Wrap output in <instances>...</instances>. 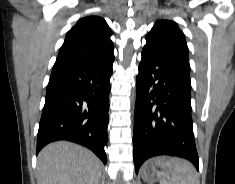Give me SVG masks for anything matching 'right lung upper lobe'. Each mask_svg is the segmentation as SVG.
<instances>
[{"label": "right lung upper lobe", "instance_id": "obj_1", "mask_svg": "<svg viewBox=\"0 0 235 184\" xmlns=\"http://www.w3.org/2000/svg\"><path fill=\"white\" fill-rule=\"evenodd\" d=\"M111 34L108 24L99 16L80 19L66 34L56 63L102 62L114 59Z\"/></svg>", "mask_w": 235, "mask_h": 184}]
</instances>
